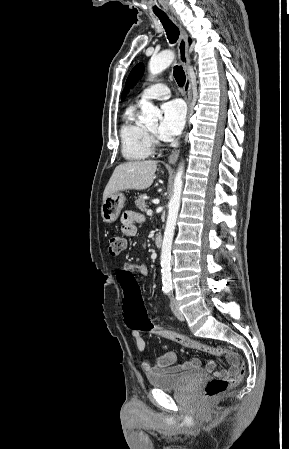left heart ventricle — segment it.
<instances>
[{"label":"left heart ventricle","instance_id":"b2bd125f","mask_svg":"<svg viewBox=\"0 0 289 449\" xmlns=\"http://www.w3.org/2000/svg\"><path fill=\"white\" fill-rule=\"evenodd\" d=\"M150 130L153 131V132H155V131H156V126L151 127Z\"/></svg>","mask_w":289,"mask_h":449}]
</instances>
